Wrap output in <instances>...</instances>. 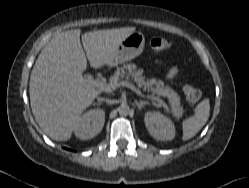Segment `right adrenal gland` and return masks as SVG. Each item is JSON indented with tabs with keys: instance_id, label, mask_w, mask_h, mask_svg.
Returning a JSON list of instances; mask_svg holds the SVG:
<instances>
[{
	"instance_id": "obj_1",
	"label": "right adrenal gland",
	"mask_w": 249,
	"mask_h": 188,
	"mask_svg": "<svg viewBox=\"0 0 249 188\" xmlns=\"http://www.w3.org/2000/svg\"><path fill=\"white\" fill-rule=\"evenodd\" d=\"M99 104H100V103H94L93 106H94V105H99Z\"/></svg>"
}]
</instances>
